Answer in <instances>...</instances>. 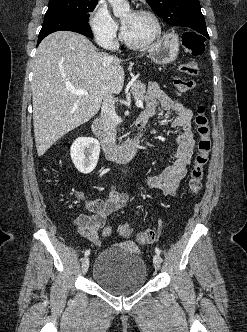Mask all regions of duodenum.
<instances>
[{
	"instance_id": "410a0bca",
	"label": "duodenum",
	"mask_w": 247,
	"mask_h": 332,
	"mask_svg": "<svg viewBox=\"0 0 247 332\" xmlns=\"http://www.w3.org/2000/svg\"><path fill=\"white\" fill-rule=\"evenodd\" d=\"M148 119L142 115L137 120V127L139 130L136 138L120 147L114 146L106 137L100 119H95L92 122V131L100 139L104 153L107 158L119 161H127L133 159L140 151L141 138L146 127Z\"/></svg>"
}]
</instances>
